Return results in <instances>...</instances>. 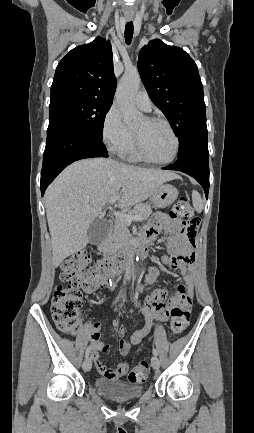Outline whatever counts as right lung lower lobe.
Segmentation results:
<instances>
[{"instance_id": "98d812e1", "label": "right lung lower lobe", "mask_w": 254, "mask_h": 433, "mask_svg": "<svg viewBox=\"0 0 254 433\" xmlns=\"http://www.w3.org/2000/svg\"><path fill=\"white\" fill-rule=\"evenodd\" d=\"M93 157H108L102 139L68 122L50 121L43 154L41 195H44L48 185L66 166Z\"/></svg>"}]
</instances>
